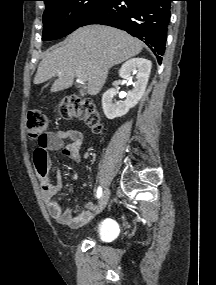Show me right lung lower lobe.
<instances>
[{
    "mask_svg": "<svg viewBox=\"0 0 216 285\" xmlns=\"http://www.w3.org/2000/svg\"><path fill=\"white\" fill-rule=\"evenodd\" d=\"M173 0H106L81 26L104 24L127 31L144 41L159 64L165 50Z\"/></svg>",
    "mask_w": 216,
    "mask_h": 285,
    "instance_id": "1",
    "label": "right lung lower lobe"
}]
</instances>
